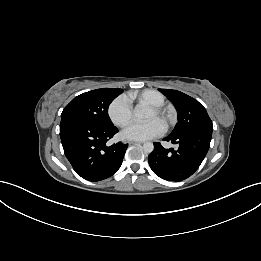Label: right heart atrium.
I'll return each instance as SVG.
<instances>
[{"label":"right heart atrium","instance_id":"right-heart-atrium-1","mask_svg":"<svg viewBox=\"0 0 261 261\" xmlns=\"http://www.w3.org/2000/svg\"><path fill=\"white\" fill-rule=\"evenodd\" d=\"M110 120L118 127L126 126L132 118V106L125 95L116 97L108 107Z\"/></svg>","mask_w":261,"mask_h":261}]
</instances>
